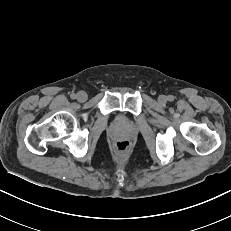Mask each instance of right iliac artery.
Wrapping results in <instances>:
<instances>
[{
    "instance_id": "right-iliac-artery-1",
    "label": "right iliac artery",
    "mask_w": 231,
    "mask_h": 231,
    "mask_svg": "<svg viewBox=\"0 0 231 231\" xmlns=\"http://www.w3.org/2000/svg\"><path fill=\"white\" fill-rule=\"evenodd\" d=\"M71 98L72 99H75L76 98V95L73 93V94H71Z\"/></svg>"
}]
</instances>
